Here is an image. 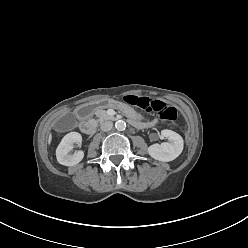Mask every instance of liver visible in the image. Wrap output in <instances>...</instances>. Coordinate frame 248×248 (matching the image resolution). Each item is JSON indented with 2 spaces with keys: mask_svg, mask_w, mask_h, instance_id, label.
Here are the masks:
<instances>
[{
  "mask_svg": "<svg viewBox=\"0 0 248 248\" xmlns=\"http://www.w3.org/2000/svg\"><path fill=\"white\" fill-rule=\"evenodd\" d=\"M51 139H52V136L50 135V137H49V141L51 142Z\"/></svg>",
  "mask_w": 248,
  "mask_h": 248,
  "instance_id": "1",
  "label": "liver"
}]
</instances>
